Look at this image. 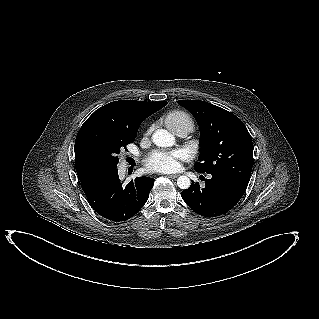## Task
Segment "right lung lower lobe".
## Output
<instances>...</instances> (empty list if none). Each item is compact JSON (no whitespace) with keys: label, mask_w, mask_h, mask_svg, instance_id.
Segmentation results:
<instances>
[{"label":"right lung lower lobe","mask_w":319,"mask_h":319,"mask_svg":"<svg viewBox=\"0 0 319 319\" xmlns=\"http://www.w3.org/2000/svg\"><path fill=\"white\" fill-rule=\"evenodd\" d=\"M153 183V178L137 177L124 187L115 168L93 174L81 181V186L91 207L100 216L112 222H122L144 206Z\"/></svg>","instance_id":"right-lung-lower-lobe-1"}]
</instances>
